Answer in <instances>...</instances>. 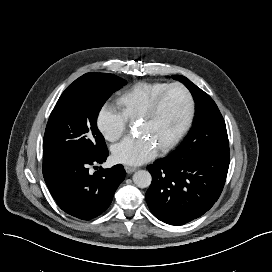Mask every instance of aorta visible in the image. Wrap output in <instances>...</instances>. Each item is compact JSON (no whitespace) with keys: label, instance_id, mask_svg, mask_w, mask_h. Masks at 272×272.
Listing matches in <instances>:
<instances>
[{"label":"aorta","instance_id":"aorta-1","mask_svg":"<svg viewBox=\"0 0 272 272\" xmlns=\"http://www.w3.org/2000/svg\"><path fill=\"white\" fill-rule=\"evenodd\" d=\"M152 181L151 174L146 170H138L133 174V182L139 188H147Z\"/></svg>","mask_w":272,"mask_h":272}]
</instances>
